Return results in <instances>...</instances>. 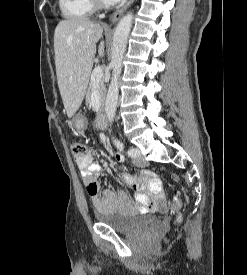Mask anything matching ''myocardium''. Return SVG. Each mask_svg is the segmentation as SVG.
<instances>
[{
	"label": "myocardium",
	"mask_w": 247,
	"mask_h": 275,
	"mask_svg": "<svg viewBox=\"0 0 247 275\" xmlns=\"http://www.w3.org/2000/svg\"><path fill=\"white\" fill-rule=\"evenodd\" d=\"M92 2L97 8H105L110 5V2L107 0H92Z\"/></svg>",
	"instance_id": "1"
}]
</instances>
